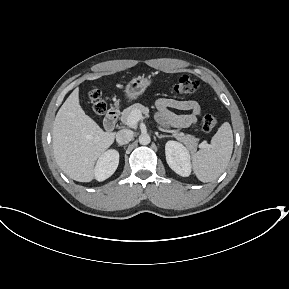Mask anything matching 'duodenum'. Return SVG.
<instances>
[{
	"instance_id": "duodenum-1",
	"label": "duodenum",
	"mask_w": 289,
	"mask_h": 289,
	"mask_svg": "<svg viewBox=\"0 0 289 289\" xmlns=\"http://www.w3.org/2000/svg\"><path fill=\"white\" fill-rule=\"evenodd\" d=\"M119 112L116 108L111 107L104 119V127L106 130L111 131L115 128L118 121Z\"/></svg>"
}]
</instances>
